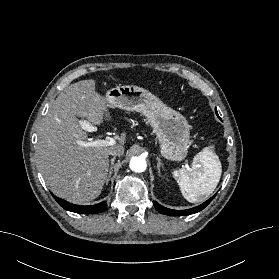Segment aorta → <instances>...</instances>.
<instances>
[{
    "mask_svg": "<svg viewBox=\"0 0 279 279\" xmlns=\"http://www.w3.org/2000/svg\"><path fill=\"white\" fill-rule=\"evenodd\" d=\"M130 169L134 172H144L146 170V160L141 157H132L130 160Z\"/></svg>",
    "mask_w": 279,
    "mask_h": 279,
    "instance_id": "1",
    "label": "aorta"
}]
</instances>
